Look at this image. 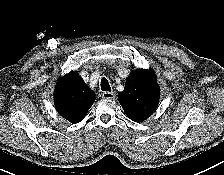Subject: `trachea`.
Listing matches in <instances>:
<instances>
[{
  "label": "trachea",
  "instance_id": "1",
  "mask_svg": "<svg viewBox=\"0 0 224 175\" xmlns=\"http://www.w3.org/2000/svg\"><path fill=\"white\" fill-rule=\"evenodd\" d=\"M101 90L105 92H111V87L106 78L101 79Z\"/></svg>",
  "mask_w": 224,
  "mask_h": 175
}]
</instances>
